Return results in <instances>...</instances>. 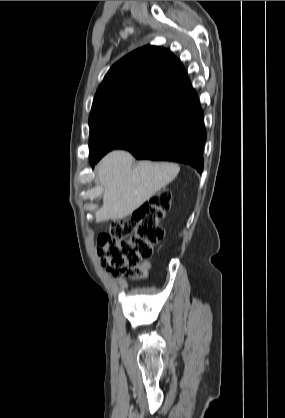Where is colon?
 <instances>
[{"instance_id":"5ec220e1","label":"colon","mask_w":285,"mask_h":418,"mask_svg":"<svg viewBox=\"0 0 285 418\" xmlns=\"http://www.w3.org/2000/svg\"><path fill=\"white\" fill-rule=\"evenodd\" d=\"M170 202V191L162 189L138 207L131 217L113 221L107 232L98 234V254L108 273L140 274L144 268L142 261L152 256L154 246L164 237L160 221L168 212Z\"/></svg>"}]
</instances>
